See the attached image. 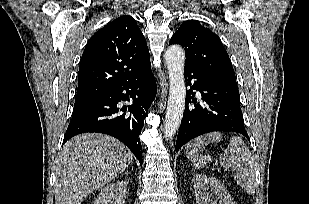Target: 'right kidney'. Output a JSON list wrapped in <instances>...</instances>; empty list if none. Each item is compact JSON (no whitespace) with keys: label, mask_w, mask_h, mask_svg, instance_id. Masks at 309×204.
<instances>
[{"label":"right kidney","mask_w":309,"mask_h":204,"mask_svg":"<svg viewBox=\"0 0 309 204\" xmlns=\"http://www.w3.org/2000/svg\"><path fill=\"white\" fill-rule=\"evenodd\" d=\"M127 194V182L116 181L104 186L94 204H124Z\"/></svg>","instance_id":"obj_1"}]
</instances>
